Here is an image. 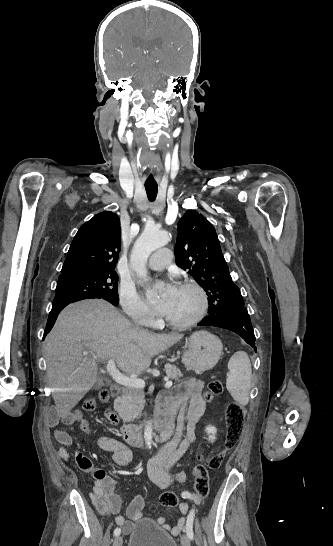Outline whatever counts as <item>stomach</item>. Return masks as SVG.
Wrapping results in <instances>:
<instances>
[{"instance_id":"stomach-1","label":"stomach","mask_w":333,"mask_h":546,"mask_svg":"<svg viewBox=\"0 0 333 546\" xmlns=\"http://www.w3.org/2000/svg\"><path fill=\"white\" fill-rule=\"evenodd\" d=\"M182 363L197 374L211 370L218 363L223 345L218 337L207 331H197L186 339Z\"/></svg>"}]
</instances>
